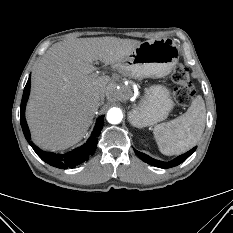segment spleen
I'll list each match as a JSON object with an SVG mask.
<instances>
[{
	"label": "spleen",
	"mask_w": 233,
	"mask_h": 233,
	"mask_svg": "<svg viewBox=\"0 0 233 233\" xmlns=\"http://www.w3.org/2000/svg\"><path fill=\"white\" fill-rule=\"evenodd\" d=\"M205 121V103L201 96H197L186 113L155 126L153 134L160 152L169 156L190 150L201 138Z\"/></svg>",
	"instance_id": "spleen-1"
}]
</instances>
